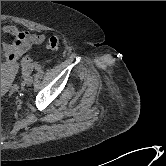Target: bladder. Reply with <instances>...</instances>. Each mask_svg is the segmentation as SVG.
Here are the masks:
<instances>
[{
  "label": "bladder",
  "mask_w": 166,
  "mask_h": 166,
  "mask_svg": "<svg viewBox=\"0 0 166 166\" xmlns=\"http://www.w3.org/2000/svg\"><path fill=\"white\" fill-rule=\"evenodd\" d=\"M9 85H10V81L1 82V96L6 92Z\"/></svg>",
  "instance_id": "bladder-1"
}]
</instances>
